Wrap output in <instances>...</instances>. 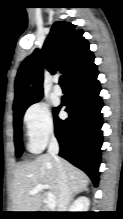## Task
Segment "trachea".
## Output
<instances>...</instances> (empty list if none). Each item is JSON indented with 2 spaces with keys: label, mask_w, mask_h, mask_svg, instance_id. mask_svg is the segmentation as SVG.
Segmentation results:
<instances>
[{
  "label": "trachea",
  "mask_w": 123,
  "mask_h": 219,
  "mask_svg": "<svg viewBox=\"0 0 123 219\" xmlns=\"http://www.w3.org/2000/svg\"><path fill=\"white\" fill-rule=\"evenodd\" d=\"M59 83H60V85H66L67 84L64 76L60 77Z\"/></svg>",
  "instance_id": "trachea-1"
}]
</instances>
